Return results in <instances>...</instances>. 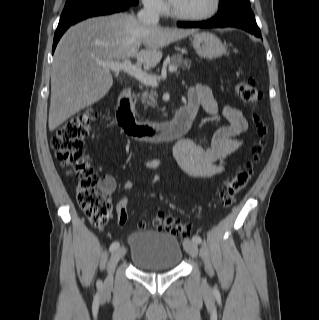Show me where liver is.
<instances>
[{
  "instance_id": "liver-1",
  "label": "liver",
  "mask_w": 319,
  "mask_h": 320,
  "mask_svg": "<svg viewBox=\"0 0 319 320\" xmlns=\"http://www.w3.org/2000/svg\"><path fill=\"white\" fill-rule=\"evenodd\" d=\"M194 32L146 25L126 13L94 17L72 26L54 53L49 130L54 131L108 93L113 77L101 62L133 57L138 64L154 67L162 58L160 48ZM141 45L145 49L140 51Z\"/></svg>"
}]
</instances>
